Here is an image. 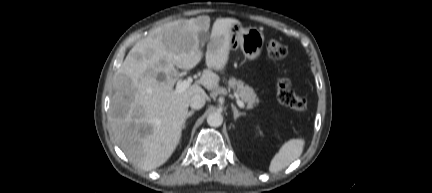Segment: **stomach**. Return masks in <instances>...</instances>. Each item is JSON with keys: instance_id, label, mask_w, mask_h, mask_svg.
I'll return each instance as SVG.
<instances>
[{"instance_id": "0dacf381", "label": "stomach", "mask_w": 432, "mask_h": 193, "mask_svg": "<svg viewBox=\"0 0 432 193\" xmlns=\"http://www.w3.org/2000/svg\"><path fill=\"white\" fill-rule=\"evenodd\" d=\"M264 45V34L255 27L244 28L241 23L230 27L231 49L240 47L244 56L249 60L259 57Z\"/></svg>"}]
</instances>
